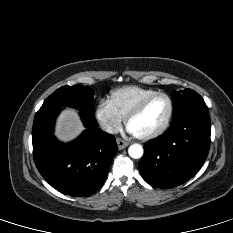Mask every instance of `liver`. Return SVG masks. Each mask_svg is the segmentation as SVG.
Masks as SVG:
<instances>
[{"instance_id": "liver-1", "label": "liver", "mask_w": 233, "mask_h": 233, "mask_svg": "<svg viewBox=\"0 0 233 233\" xmlns=\"http://www.w3.org/2000/svg\"><path fill=\"white\" fill-rule=\"evenodd\" d=\"M84 130V125L76 110L64 108L58 115L55 125V136L61 142L74 140Z\"/></svg>"}]
</instances>
